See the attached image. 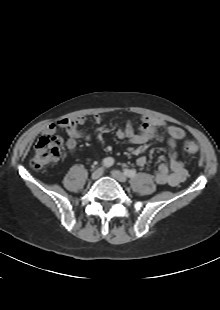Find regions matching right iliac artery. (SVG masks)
<instances>
[{
  "label": "right iliac artery",
  "mask_w": 220,
  "mask_h": 310,
  "mask_svg": "<svg viewBox=\"0 0 220 310\" xmlns=\"http://www.w3.org/2000/svg\"><path fill=\"white\" fill-rule=\"evenodd\" d=\"M114 164V159L111 157H107L103 160V166L104 167H110Z\"/></svg>",
  "instance_id": "82829eb1"
}]
</instances>
